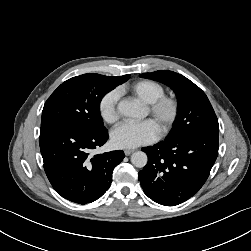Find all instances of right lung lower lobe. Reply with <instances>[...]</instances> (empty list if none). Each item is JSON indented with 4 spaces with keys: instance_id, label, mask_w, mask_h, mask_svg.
<instances>
[{
    "instance_id": "98d812e1",
    "label": "right lung lower lobe",
    "mask_w": 251,
    "mask_h": 251,
    "mask_svg": "<svg viewBox=\"0 0 251 251\" xmlns=\"http://www.w3.org/2000/svg\"><path fill=\"white\" fill-rule=\"evenodd\" d=\"M107 139V129L92 131L66 123L41 127L39 143L44 170L59 195L86 204L110 188L113 170L125 157L124 152L90 155V150L102 146Z\"/></svg>"
}]
</instances>
